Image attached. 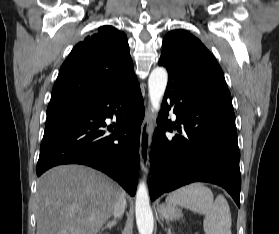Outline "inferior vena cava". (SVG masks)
Instances as JSON below:
<instances>
[{
    "label": "inferior vena cava",
    "mask_w": 279,
    "mask_h": 234,
    "mask_svg": "<svg viewBox=\"0 0 279 234\" xmlns=\"http://www.w3.org/2000/svg\"><path fill=\"white\" fill-rule=\"evenodd\" d=\"M125 206H126V199L124 194H121L114 205V210H113L114 217H121L122 214L124 213Z\"/></svg>",
    "instance_id": "inferior-vena-cava-1"
}]
</instances>
